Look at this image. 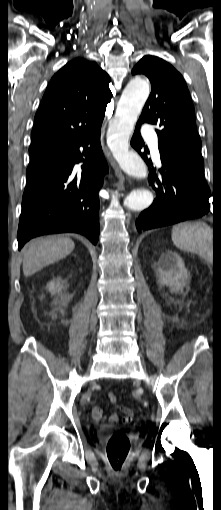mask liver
I'll return each mask as SVG.
<instances>
[{"label": "liver", "mask_w": 221, "mask_h": 510, "mask_svg": "<svg viewBox=\"0 0 221 510\" xmlns=\"http://www.w3.org/2000/svg\"><path fill=\"white\" fill-rule=\"evenodd\" d=\"M74 247L72 239L60 235L30 241L22 251L24 276L29 277L65 258L74 250Z\"/></svg>", "instance_id": "liver-1"}]
</instances>
